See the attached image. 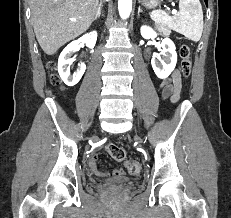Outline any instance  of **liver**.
<instances>
[{
  "label": "liver",
  "instance_id": "6515ba94",
  "mask_svg": "<svg viewBox=\"0 0 231 218\" xmlns=\"http://www.w3.org/2000/svg\"><path fill=\"white\" fill-rule=\"evenodd\" d=\"M30 7L38 43L47 55H53L88 30L98 13L99 0H30Z\"/></svg>",
  "mask_w": 231,
  "mask_h": 218
}]
</instances>
